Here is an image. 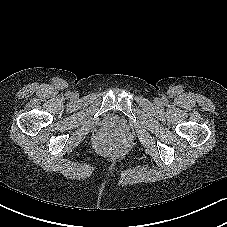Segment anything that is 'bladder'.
I'll list each match as a JSON object with an SVG mask.
<instances>
[{
	"label": "bladder",
	"instance_id": "1",
	"mask_svg": "<svg viewBox=\"0 0 227 227\" xmlns=\"http://www.w3.org/2000/svg\"><path fill=\"white\" fill-rule=\"evenodd\" d=\"M106 125L109 126V127H118L120 126V122L118 119H116L115 117L113 116H110L107 118L106 120Z\"/></svg>",
	"mask_w": 227,
	"mask_h": 227
}]
</instances>
